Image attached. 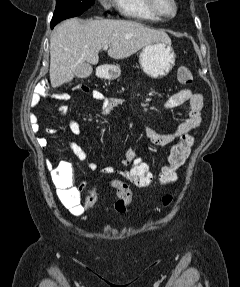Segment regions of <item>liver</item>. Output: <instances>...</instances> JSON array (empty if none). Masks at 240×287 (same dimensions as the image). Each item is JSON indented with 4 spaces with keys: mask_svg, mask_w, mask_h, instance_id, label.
<instances>
[{
    "mask_svg": "<svg viewBox=\"0 0 240 287\" xmlns=\"http://www.w3.org/2000/svg\"><path fill=\"white\" fill-rule=\"evenodd\" d=\"M171 43L162 30L131 20L71 18L58 25L50 39V82L53 88L70 82L85 62L97 64L99 51L108 45V56L124 59L154 42Z\"/></svg>",
    "mask_w": 240,
    "mask_h": 287,
    "instance_id": "obj_1",
    "label": "liver"
}]
</instances>
